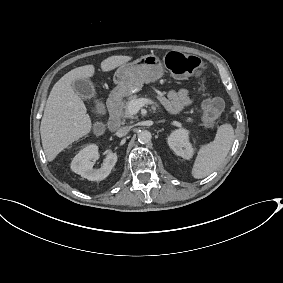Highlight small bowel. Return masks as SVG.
<instances>
[{
    "label": "small bowel",
    "instance_id": "small-bowel-1",
    "mask_svg": "<svg viewBox=\"0 0 283 283\" xmlns=\"http://www.w3.org/2000/svg\"><path fill=\"white\" fill-rule=\"evenodd\" d=\"M160 101L170 112H178L191 103V97L187 89H170L160 96Z\"/></svg>",
    "mask_w": 283,
    "mask_h": 283
}]
</instances>
